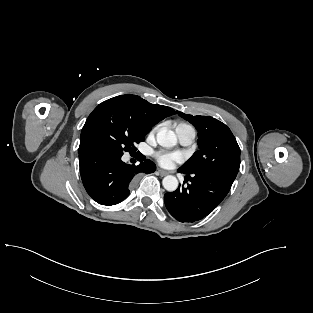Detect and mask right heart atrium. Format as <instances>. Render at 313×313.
Segmentation results:
<instances>
[{"label": "right heart atrium", "instance_id": "d8ad5b80", "mask_svg": "<svg viewBox=\"0 0 313 313\" xmlns=\"http://www.w3.org/2000/svg\"><path fill=\"white\" fill-rule=\"evenodd\" d=\"M157 129H158V127H155L152 132H153V133L156 132Z\"/></svg>", "mask_w": 313, "mask_h": 313}]
</instances>
